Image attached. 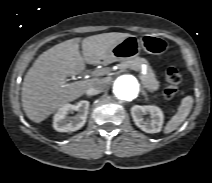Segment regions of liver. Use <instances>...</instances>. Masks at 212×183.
Wrapping results in <instances>:
<instances>
[{
    "instance_id": "6515ba94",
    "label": "liver",
    "mask_w": 212,
    "mask_h": 183,
    "mask_svg": "<svg viewBox=\"0 0 212 183\" xmlns=\"http://www.w3.org/2000/svg\"><path fill=\"white\" fill-rule=\"evenodd\" d=\"M130 36L128 33H103L61 42L43 52L35 60L24 77L22 106L27 117L36 123L68 102L81 97L97 78L85 81L67 82V76L84 71L86 64L94 65L106 61L108 51Z\"/></svg>"
}]
</instances>
